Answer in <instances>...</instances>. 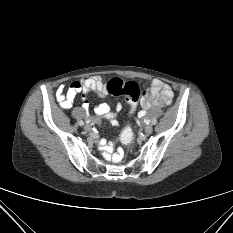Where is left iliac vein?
Masks as SVG:
<instances>
[{
	"instance_id": "obj_1",
	"label": "left iliac vein",
	"mask_w": 233,
	"mask_h": 233,
	"mask_svg": "<svg viewBox=\"0 0 233 233\" xmlns=\"http://www.w3.org/2000/svg\"><path fill=\"white\" fill-rule=\"evenodd\" d=\"M152 131H153L152 125H147V126L145 127V129H144V132H145L146 134H150V133H152Z\"/></svg>"
}]
</instances>
